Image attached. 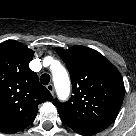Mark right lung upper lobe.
<instances>
[{
  "label": "right lung upper lobe",
  "mask_w": 136,
  "mask_h": 136,
  "mask_svg": "<svg viewBox=\"0 0 136 136\" xmlns=\"http://www.w3.org/2000/svg\"><path fill=\"white\" fill-rule=\"evenodd\" d=\"M33 55L20 42L0 43V132L11 134L26 128L34 121L38 105L52 100L29 68Z\"/></svg>",
  "instance_id": "1"
}]
</instances>
